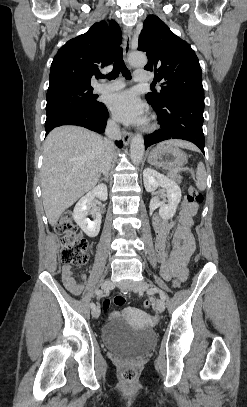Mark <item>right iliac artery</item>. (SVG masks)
Segmentation results:
<instances>
[{"label":"right iliac artery","instance_id":"obj_1","mask_svg":"<svg viewBox=\"0 0 247 407\" xmlns=\"http://www.w3.org/2000/svg\"><path fill=\"white\" fill-rule=\"evenodd\" d=\"M103 293H104V291H103L102 289L96 290V292H95V294L98 295V296L103 295ZM90 307H91L92 309H94V308H95V303L92 302V303L90 304Z\"/></svg>","mask_w":247,"mask_h":407}]
</instances>
